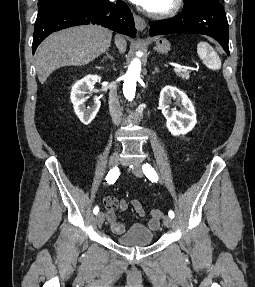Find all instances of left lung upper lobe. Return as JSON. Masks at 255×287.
I'll list each match as a JSON object with an SVG mask.
<instances>
[{
    "label": "left lung upper lobe",
    "instance_id": "1",
    "mask_svg": "<svg viewBox=\"0 0 255 287\" xmlns=\"http://www.w3.org/2000/svg\"><path fill=\"white\" fill-rule=\"evenodd\" d=\"M188 1H190V0H184V2H188Z\"/></svg>",
    "mask_w": 255,
    "mask_h": 287
}]
</instances>
